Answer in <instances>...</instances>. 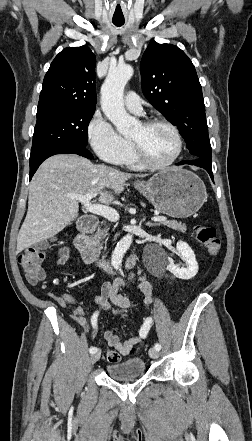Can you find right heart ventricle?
Segmentation results:
<instances>
[{
  "mask_svg": "<svg viewBox=\"0 0 252 441\" xmlns=\"http://www.w3.org/2000/svg\"><path fill=\"white\" fill-rule=\"evenodd\" d=\"M123 165L127 166L128 168L132 170H142L144 167L141 165V163L137 160L135 153L133 149L131 150L130 154L125 159Z\"/></svg>",
  "mask_w": 252,
  "mask_h": 441,
  "instance_id": "obj_1",
  "label": "right heart ventricle"
}]
</instances>
